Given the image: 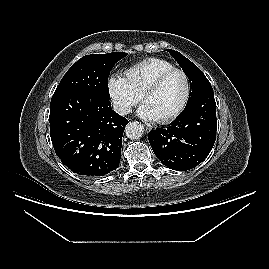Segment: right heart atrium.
<instances>
[{"mask_svg": "<svg viewBox=\"0 0 269 269\" xmlns=\"http://www.w3.org/2000/svg\"><path fill=\"white\" fill-rule=\"evenodd\" d=\"M107 92L114 110L120 115L129 113L140 100V95L130 87L127 79L119 74L109 77Z\"/></svg>", "mask_w": 269, "mask_h": 269, "instance_id": "right-heart-atrium-1", "label": "right heart atrium"}]
</instances>
